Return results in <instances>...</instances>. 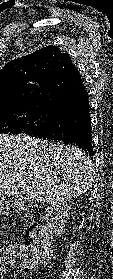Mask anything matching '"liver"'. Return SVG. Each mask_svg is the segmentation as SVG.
<instances>
[{
	"mask_svg": "<svg viewBox=\"0 0 113 279\" xmlns=\"http://www.w3.org/2000/svg\"><path fill=\"white\" fill-rule=\"evenodd\" d=\"M93 160L86 152L26 134H0V196L58 205L92 187Z\"/></svg>",
	"mask_w": 113,
	"mask_h": 279,
	"instance_id": "obj_1",
	"label": "liver"
}]
</instances>
